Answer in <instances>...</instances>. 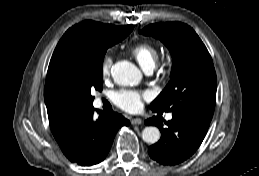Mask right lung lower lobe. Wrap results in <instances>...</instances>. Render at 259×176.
<instances>
[{
  "label": "right lung lower lobe",
  "mask_w": 259,
  "mask_h": 176,
  "mask_svg": "<svg viewBox=\"0 0 259 176\" xmlns=\"http://www.w3.org/2000/svg\"><path fill=\"white\" fill-rule=\"evenodd\" d=\"M93 106L77 110L50 125L62 152L71 161L82 166L101 162L108 154L118 129L130 122L122 115L102 112L93 117Z\"/></svg>",
  "instance_id": "98d812e1"
}]
</instances>
